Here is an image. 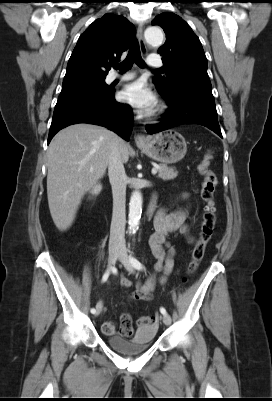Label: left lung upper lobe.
<instances>
[{"label": "left lung upper lobe", "instance_id": "obj_1", "mask_svg": "<svg viewBox=\"0 0 272 401\" xmlns=\"http://www.w3.org/2000/svg\"><path fill=\"white\" fill-rule=\"evenodd\" d=\"M152 25L161 26L167 35L165 45L158 49L165 76L153 77L159 93L167 95L180 88L212 92L207 59L191 27L174 13L156 16Z\"/></svg>", "mask_w": 272, "mask_h": 401}]
</instances>
